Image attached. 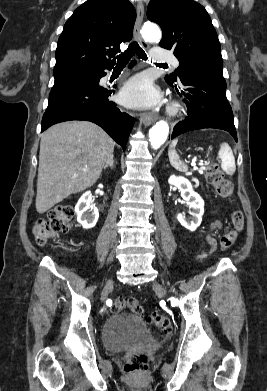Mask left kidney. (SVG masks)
<instances>
[{
	"label": "left kidney",
	"instance_id": "5707ae66",
	"mask_svg": "<svg viewBox=\"0 0 267 391\" xmlns=\"http://www.w3.org/2000/svg\"><path fill=\"white\" fill-rule=\"evenodd\" d=\"M168 183L176 186L181 192L182 198L192 209L189 213L192 215L191 218H186L183 213L178 214L177 219L180 224L190 231H195L201 224L202 216L204 213V201L198 193H196L190 181L182 176H170Z\"/></svg>",
	"mask_w": 267,
	"mask_h": 391
}]
</instances>
